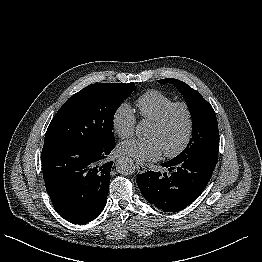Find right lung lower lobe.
Masks as SVG:
<instances>
[{"label": "right lung lower lobe", "mask_w": 262, "mask_h": 262, "mask_svg": "<svg viewBox=\"0 0 262 262\" xmlns=\"http://www.w3.org/2000/svg\"><path fill=\"white\" fill-rule=\"evenodd\" d=\"M114 148L115 142L44 144L41 161L46 190L65 220L85 224L103 211L113 165L106 158Z\"/></svg>", "instance_id": "98d812e1"}]
</instances>
